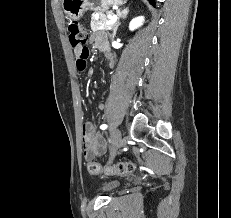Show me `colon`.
<instances>
[{
  "mask_svg": "<svg viewBox=\"0 0 231 218\" xmlns=\"http://www.w3.org/2000/svg\"><path fill=\"white\" fill-rule=\"evenodd\" d=\"M69 42L73 48H80L81 52L77 58L89 56V50L86 46L88 32L78 21H71L68 24ZM136 168L132 161L118 162L112 166H104L96 161H89L87 169L91 174L105 173L108 175H125L131 173Z\"/></svg>",
  "mask_w": 231,
  "mask_h": 218,
  "instance_id": "5ec220e1",
  "label": "colon"
}]
</instances>
